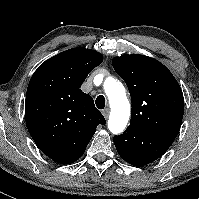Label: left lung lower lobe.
Segmentation results:
<instances>
[{
    "label": "left lung lower lobe",
    "instance_id": "left-lung-lower-lobe-1",
    "mask_svg": "<svg viewBox=\"0 0 199 199\" xmlns=\"http://www.w3.org/2000/svg\"><path fill=\"white\" fill-rule=\"evenodd\" d=\"M120 156L128 163L142 166L161 157L173 142L129 125L125 132L113 138Z\"/></svg>",
    "mask_w": 199,
    "mask_h": 199
}]
</instances>
